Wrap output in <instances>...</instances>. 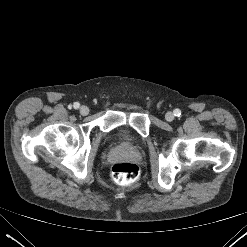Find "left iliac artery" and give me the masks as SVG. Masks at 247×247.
<instances>
[{"mask_svg":"<svg viewBox=\"0 0 247 247\" xmlns=\"http://www.w3.org/2000/svg\"><path fill=\"white\" fill-rule=\"evenodd\" d=\"M174 115L179 117L181 115V111L179 109L174 110Z\"/></svg>","mask_w":247,"mask_h":247,"instance_id":"left-iliac-artery-1","label":"left iliac artery"}]
</instances>
